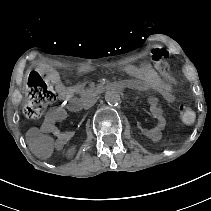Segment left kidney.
I'll return each instance as SVG.
<instances>
[{"mask_svg": "<svg viewBox=\"0 0 211 211\" xmlns=\"http://www.w3.org/2000/svg\"><path fill=\"white\" fill-rule=\"evenodd\" d=\"M150 115L151 117L155 118L157 123L150 127L144 122H137L134 125L135 132L143 135L146 138H154L168 131L169 120L166 114L161 112L160 108H151Z\"/></svg>", "mask_w": 211, "mask_h": 211, "instance_id": "1", "label": "left kidney"}]
</instances>
